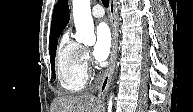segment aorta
Listing matches in <instances>:
<instances>
[{
    "instance_id": "762f6f07",
    "label": "aorta",
    "mask_w": 193,
    "mask_h": 112,
    "mask_svg": "<svg viewBox=\"0 0 193 112\" xmlns=\"http://www.w3.org/2000/svg\"><path fill=\"white\" fill-rule=\"evenodd\" d=\"M73 19L76 27L75 39L77 42L93 45L96 37L91 15L90 0H73ZM112 110V97L108 103V112Z\"/></svg>"
}]
</instances>
